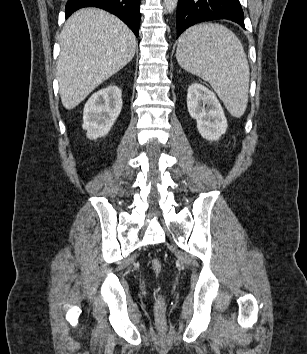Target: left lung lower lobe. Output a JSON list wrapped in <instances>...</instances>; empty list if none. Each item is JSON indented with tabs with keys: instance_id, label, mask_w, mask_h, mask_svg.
<instances>
[{
	"instance_id": "left-lung-lower-lobe-1",
	"label": "left lung lower lobe",
	"mask_w": 307,
	"mask_h": 354,
	"mask_svg": "<svg viewBox=\"0 0 307 354\" xmlns=\"http://www.w3.org/2000/svg\"><path fill=\"white\" fill-rule=\"evenodd\" d=\"M216 19L231 20L245 29L239 0H178L177 37L194 24Z\"/></svg>"
}]
</instances>
